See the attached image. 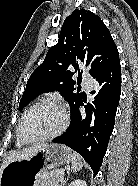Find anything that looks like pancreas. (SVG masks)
I'll return each mask as SVG.
<instances>
[{"label": "pancreas", "instance_id": "1", "mask_svg": "<svg viewBox=\"0 0 138 186\" xmlns=\"http://www.w3.org/2000/svg\"><path fill=\"white\" fill-rule=\"evenodd\" d=\"M59 170H50L41 174L36 180V186H62L63 177L58 176Z\"/></svg>", "mask_w": 138, "mask_h": 186}]
</instances>
